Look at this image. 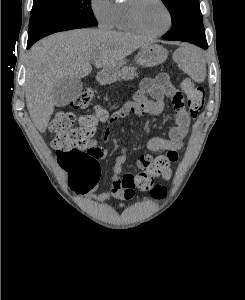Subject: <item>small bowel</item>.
I'll use <instances>...</instances> for the list:
<instances>
[{"label":"small bowel","instance_id":"1","mask_svg":"<svg viewBox=\"0 0 245 300\" xmlns=\"http://www.w3.org/2000/svg\"><path fill=\"white\" fill-rule=\"evenodd\" d=\"M169 98L175 110V119L166 137L154 136L147 141L149 153L142 154L137 160L140 173H147L152 177L163 176L168 179L174 172V165H170L178 158V151L184 146V139L188 134L190 116L184 104L183 95L172 83L166 73L159 74L155 78H146L140 88L134 94L133 101L127 102L120 109L114 111L108 117L109 126L117 121L137 116H157L164 109V100ZM110 134L109 127L104 134L105 141ZM90 148L98 151V160L106 157L107 151L99 146L95 140H91ZM164 151L165 153L153 156V153ZM127 149L121 148V154L116 158L111 176L110 188L100 194H91L89 198L96 202H104L110 198L130 199L134 196L136 186L135 179L139 174L123 173V164L126 161ZM164 183L159 181L154 184L155 190H162Z\"/></svg>","mask_w":245,"mask_h":300}]
</instances>
